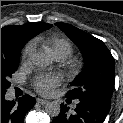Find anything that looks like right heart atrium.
<instances>
[{"instance_id": "d8ad5b80", "label": "right heart atrium", "mask_w": 123, "mask_h": 123, "mask_svg": "<svg viewBox=\"0 0 123 123\" xmlns=\"http://www.w3.org/2000/svg\"><path fill=\"white\" fill-rule=\"evenodd\" d=\"M33 50H34V44L33 42H29L23 50V59L27 60L31 55V53L33 52Z\"/></svg>"}]
</instances>
